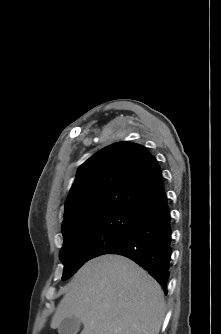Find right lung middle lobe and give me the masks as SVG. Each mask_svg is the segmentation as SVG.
I'll return each instance as SVG.
<instances>
[{"instance_id":"dd1d6c3e","label":"right lung middle lobe","mask_w":221,"mask_h":334,"mask_svg":"<svg viewBox=\"0 0 221 334\" xmlns=\"http://www.w3.org/2000/svg\"><path fill=\"white\" fill-rule=\"evenodd\" d=\"M138 214L113 211L87 218L63 235L60 259L62 279L70 278L85 262L114 248L129 231Z\"/></svg>"}]
</instances>
